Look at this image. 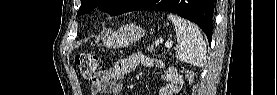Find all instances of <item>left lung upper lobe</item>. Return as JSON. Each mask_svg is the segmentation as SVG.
I'll list each match as a JSON object with an SVG mask.
<instances>
[{
    "label": "left lung upper lobe",
    "mask_w": 277,
    "mask_h": 95,
    "mask_svg": "<svg viewBox=\"0 0 277 95\" xmlns=\"http://www.w3.org/2000/svg\"><path fill=\"white\" fill-rule=\"evenodd\" d=\"M145 0H81V6L77 15H83L101 7L102 11H108L110 15H120L135 10ZM171 0H162L160 5L167 6Z\"/></svg>",
    "instance_id": "5c2ea615"
}]
</instances>
